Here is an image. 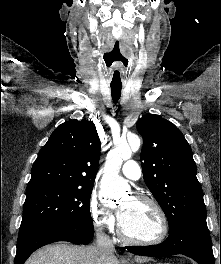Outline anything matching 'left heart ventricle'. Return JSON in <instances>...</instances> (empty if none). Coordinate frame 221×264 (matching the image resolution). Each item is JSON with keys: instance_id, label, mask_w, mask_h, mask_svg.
I'll return each mask as SVG.
<instances>
[{"instance_id": "obj_1", "label": "left heart ventricle", "mask_w": 221, "mask_h": 264, "mask_svg": "<svg viewBox=\"0 0 221 264\" xmlns=\"http://www.w3.org/2000/svg\"><path fill=\"white\" fill-rule=\"evenodd\" d=\"M124 212L121 220L125 233L138 240H151L161 231V221L155 209L148 203L128 198L120 205Z\"/></svg>"}]
</instances>
